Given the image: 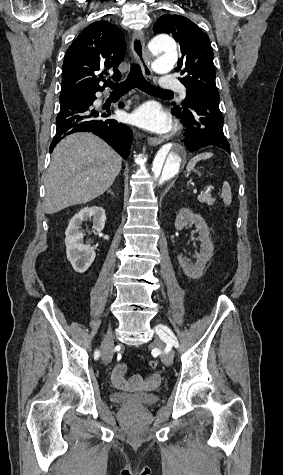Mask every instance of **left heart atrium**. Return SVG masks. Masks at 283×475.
Returning a JSON list of instances; mask_svg holds the SVG:
<instances>
[{
    "instance_id": "39dd6f15",
    "label": "left heart atrium",
    "mask_w": 283,
    "mask_h": 475,
    "mask_svg": "<svg viewBox=\"0 0 283 475\" xmlns=\"http://www.w3.org/2000/svg\"><path fill=\"white\" fill-rule=\"evenodd\" d=\"M131 120L137 127L158 134L168 132L172 126L170 116L155 102L140 105L132 113Z\"/></svg>"
}]
</instances>
